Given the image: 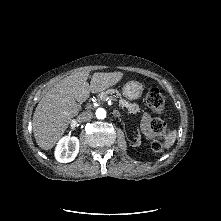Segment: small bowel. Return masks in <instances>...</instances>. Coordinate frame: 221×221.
<instances>
[{
	"label": "small bowel",
	"mask_w": 221,
	"mask_h": 221,
	"mask_svg": "<svg viewBox=\"0 0 221 221\" xmlns=\"http://www.w3.org/2000/svg\"><path fill=\"white\" fill-rule=\"evenodd\" d=\"M151 118L148 114H143L142 120H141V125L143 132L146 137L151 138L153 136V132L150 130L149 124H150Z\"/></svg>",
	"instance_id": "c3829d8e"
}]
</instances>
